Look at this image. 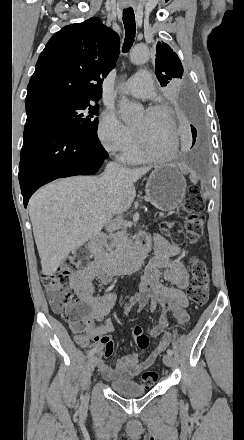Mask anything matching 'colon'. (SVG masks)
I'll return each mask as SVG.
<instances>
[{
    "label": "colon",
    "instance_id": "1",
    "mask_svg": "<svg viewBox=\"0 0 244 440\" xmlns=\"http://www.w3.org/2000/svg\"><path fill=\"white\" fill-rule=\"evenodd\" d=\"M180 216L185 220L187 237L190 242H195L204 230V204L197 190L190 189L185 208L180 211ZM161 230L172 228V238L182 239L183 231L181 221H161ZM70 260L59 265L53 273H43L41 284L48 295V300L53 311L63 315L71 324L72 329L77 334H82L87 330L91 321L86 314L91 313L90 305H81L74 302V296L66 287L67 277L70 273L76 272L78 267H86L90 255L89 248H71L69 251ZM191 273V286L188 290L190 300L197 306L207 303L209 297L210 275L207 267L201 258L192 256L189 259ZM137 345L139 349L149 348V337L143 333V326H137ZM157 373L146 370L142 373L141 382L145 386L153 385L157 380Z\"/></svg>",
    "mask_w": 244,
    "mask_h": 440
}]
</instances>
